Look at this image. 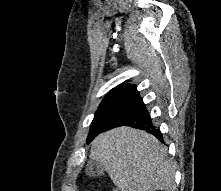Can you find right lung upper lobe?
I'll return each instance as SVG.
<instances>
[{
  "mask_svg": "<svg viewBox=\"0 0 221 191\" xmlns=\"http://www.w3.org/2000/svg\"><path fill=\"white\" fill-rule=\"evenodd\" d=\"M136 87L134 85L129 84H122L117 86L116 88L112 89L105 97V99L102 101L101 104L111 102V101H119L121 100L125 95H127L129 92L134 90Z\"/></svg>",
  "mask_w": 221,
  "mask_h": 191,
  "instance_id": "cb5924a9",
  "label": "right lung upper lobe"
}]
</instances>
